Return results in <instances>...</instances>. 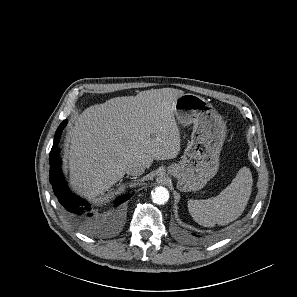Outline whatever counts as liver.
<instances>
[{
    "instance_id": "6515ba94",
    "label": "liver",
    "mask_w": 297,
    "mask_h": 297,
    "mask_svg": "<svg viewBox=\"0 0 297 297\" xmlns=\"http://www.w3.org/2000/svg\"><path fill=\"white\" fill-rule=\"evenodd\" d=\"M183 94L151 89L85 109L66 136L73 188L93 199L124 177L129 162L149 168L153 160L175 158L181 148L175 103Z\"/></svg>"
}]
</instances>
